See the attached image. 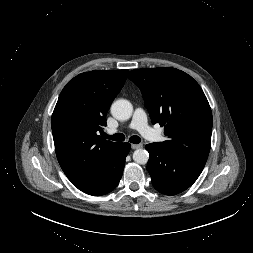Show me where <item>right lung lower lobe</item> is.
I'll return each mask as SVG.
<instances>
[{
    "label": "right lung lower lobe",
    "instance_id": "obj_1",
    "mask_svg": "<svg viewBox=\"0 0 253 253\" xmlns=\"http://www.w3.org/2000/svg\"><path fill=\"white\" fill-rule=\"evenodd\" d=\"M129 150V143H118L93 180L78 189L93 196L105 195L114 190L122 177Z\"/></svg>",
    "mask_w": 253,
    "mask_h": 253
}]
</instances>
